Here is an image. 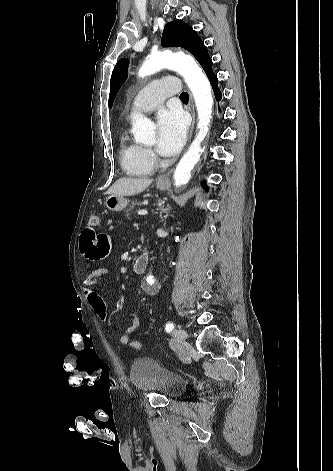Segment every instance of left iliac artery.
Returning <instances> with one entry per match:
<instances>
[{"label": "left iliac artery", "instance_id": "obj_1", "mask_svg": "<svg viewBox=\"0 0 333 471\" xmlns=\"http://www.w3.org/2000/svg\"><path fill=\"white\" fill-rule=\"evenodd\" d=\"M174 329V324L172 322H169L166 324L165 330L166 332H171Z\"/></svg>", "mask_w": 333, "mask_h": 471}]
</instances>
